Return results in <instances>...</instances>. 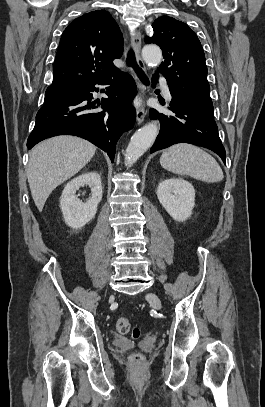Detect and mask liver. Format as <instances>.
Segmentation results:
<instances>
[{"mask_svg": "<svg viewBox=\"0 0 265 407\" xmlns=\"http://www.w3.org/2000/svg\"><path fill=\"white\" fill-rule=\"evenodd\" d=\"M95 151L92 143L70 135L52 137L31 150L27 179L40 212L52 191L78 173Z\"/></svg>", "mask_w": 265, "mask_h": 407, "instance_id": "obj_1", "label": "liver"}]
</instances>
